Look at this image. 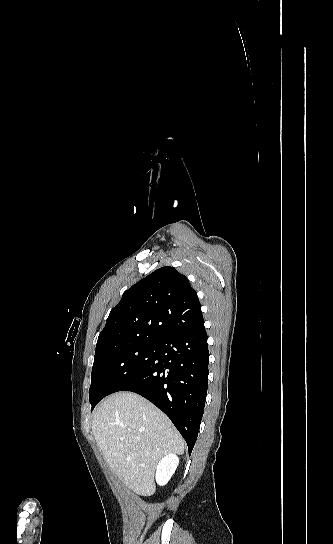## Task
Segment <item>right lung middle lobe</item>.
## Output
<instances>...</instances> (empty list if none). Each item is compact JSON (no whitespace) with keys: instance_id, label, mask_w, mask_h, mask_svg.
Listing matches in <instances>:
<instances>
[{"instance_id":"right-lung-middle-lobe-1","label":"right lung middle lobe","mask_w":333,"mask_h":544,"mask_svg":"<svg viewBox=\"0 0 333 544\" xmlns=\"http://www.w3.org/2000/svg\"><path fill=\"white\" fill-rule=\"evenodd\" d=\"M157 341H137L95 354L89 401L91 410L107 395L120 391L134 380L151 360Z\"/></svg>"}]
</instances>
